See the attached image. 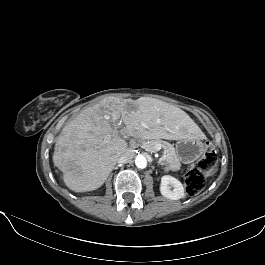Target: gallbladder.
Instances as JSON below:
<instances>
[{"mask_svg":"<svg viewBox=\"0 0 265 265\" xmlns=\"http://www.w3.org/2000/svg\"><path fill=\"white\" fill-rule=\"evenodd\" d=\"M114 133H115L116 135H119V133H118V131H117V130H114Z\"/></svg>","mask_w":265,"mask_h":265,"instance_id":"1","label":"gallbladder"}]
</instances>
